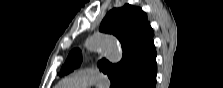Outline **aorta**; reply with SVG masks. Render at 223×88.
I'll return each instance as SVG.
<instances>
[{
  "label": "aorta",
  "mask_w": 223,
  "mask_h": 88,
  "mask_svg": "<svg viewBox=\"0 0 223 88\" xmlns=\"http://www.w3.org/2000/svg\"><path fill=\"white\" fill-rule=\"evenodd\" d=\"M89 51H100L111 63H117L122 58V49L119 41L113 36L97 33L89 37L85 42Z\"/></svg>",
  "instance_id": "1"
}]
</instances>
